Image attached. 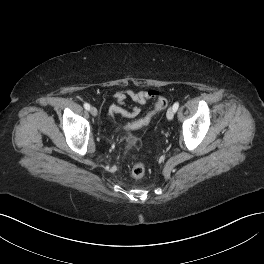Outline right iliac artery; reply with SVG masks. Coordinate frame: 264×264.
Wrapping results in <instances>:
<instances>
[{
    "label": "right iliac artery",
    "mask_w": 264,
    "mask_h": 264,
    "mask_svg": "<svg viewBox=\"0 0 264 264\" xmlns=\"http://www.w3.org/2000/svg\"><path fill=\"white\" fill-rule=\"evenodd\" d=\"M84 108H85L86 110H90V105H89L88 103H85V104H84Z\"/></svg>",
    "instance_id": "82829eb1"
}]
</instances>
